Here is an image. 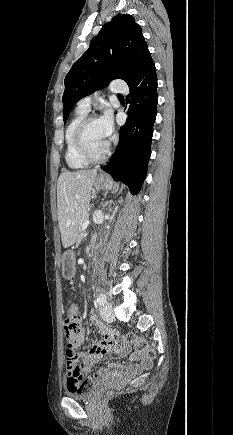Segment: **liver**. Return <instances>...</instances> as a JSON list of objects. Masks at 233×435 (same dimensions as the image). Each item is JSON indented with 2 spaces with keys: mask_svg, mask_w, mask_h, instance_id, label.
<instances>
[{
  "mask_svg": "<svg viewBox=\"0 0 233 435\" xmlns=\"http://www.w3.org/2000/svg\"><path fill=\"white\" fill-rule=\"evenodd\" d=\"M97 170L63 172L57 182V211L64 248L78 238L82 218L87 214Z\"/></svg>",
  "mask_w": 233,
  "mask_h": 435,
  "instance_id": "obj_1",
  "label": "liver"
}]
</instances>
